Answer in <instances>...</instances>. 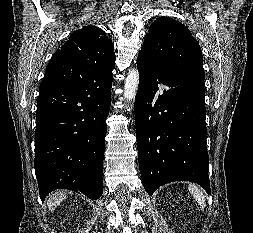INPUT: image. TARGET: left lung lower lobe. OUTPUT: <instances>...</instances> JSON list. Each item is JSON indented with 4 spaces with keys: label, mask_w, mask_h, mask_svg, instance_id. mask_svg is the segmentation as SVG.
I'll list each match as a JSON object with an SVG mask.
<instances>
[{
    "label": "left lung lower lobe",
    "mask_w": 253,
    "mask_h": 233,
    "mask_svg": "<svg viewBox=\"0 0 253 233\" xmlns=\"http://www.w3.org/2000/svg\"><path fill=\"white\" fill-rule=\"evenodd\" d=\"M137 67L135 123L146 192L152 194L161 185L184 180L210 193L204 79L196 75L179 81L165 78L142 53Z\"/></svg>",
    "instance_id": "obj_1"
}]
</instances>
